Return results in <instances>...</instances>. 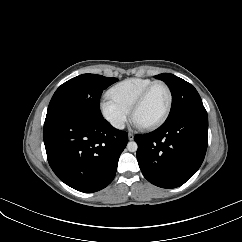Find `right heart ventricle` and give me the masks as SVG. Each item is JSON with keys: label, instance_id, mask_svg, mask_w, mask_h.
<instances>
[{"label": "right heart ventricle", "instance_id": "right-heart-ventricle-1", "mask_svg": "<svg viewBox=\"0 0 242 242\" xmlns=\"http://www.w3.org/2000/svg\"><path fill=\"white\" fill-rule=\"evenodd\" d=\"M153 82L148 78H129L113 86L108 94L115 103L130 112L137 97Z\"/></svg>", "mask_w": 242, "mask_h": 242}]
</instances>
